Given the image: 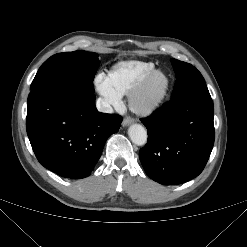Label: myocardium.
Here are the masks:
<instances>
[{"label":"myocardium","instance_id":"f54148a6","mask_svg":"<svg viewBox=\"0 0 247 247\" xmlns=\"http://www.w3.org/2000/svg\"><path fill=\"white\" fill-rule=\"evenodd\" d=\"M157 77H162L164 84L158 92H152V86ZM171 80L168 73L162 69L153 70L129 96L132 111L148 115L156 111L168 95Z\"/></svg>","mask_w":247,"mask_h":247}]
</instances>
